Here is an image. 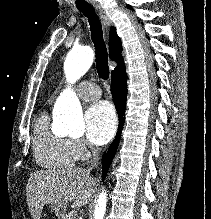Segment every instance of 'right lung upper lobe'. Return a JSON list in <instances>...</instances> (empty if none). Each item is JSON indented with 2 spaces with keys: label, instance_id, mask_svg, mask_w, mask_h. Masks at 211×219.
I'll return each mask as SVG.
<instances>
[{
  "label": "right lung upper lobe",
  "instance_id": "1",
  "mask_svg": "<svg viewBox=\"0 0 211 219\" xmlns=\"http://www.w3.org/2000/svg\"><path fill=\"white\" fill-rule=\"evenodd\" d=\"M121 51H122L121 39L116 33V28L112 26L110 28V34H109V55L113 61L118 63L117 67L112 71V73L125 66L123 63Z\"/></svg>",
  "mask_w": 211,
  "mask_h": 219
}]
</instances>
